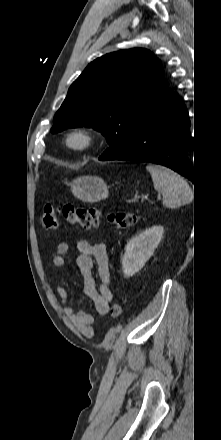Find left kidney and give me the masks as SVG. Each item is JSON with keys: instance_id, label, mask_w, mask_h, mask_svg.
<instances>
[{"instance_id": "left-kidney-1", "label": "left kidney", "mask_w": 221, "mask_h": 440, "mask_svg": "<svg viewBox=\"0 0 221 440\" xmlns=\"http://www.w3.org/2000/svg\"><path fill=\"white\" fill-rule=\"evenodd\" d=\"M163 233V226H153L128 241L122 258L125 277L133 276L143 268L160 243Z\"/></svg>"}]
</instances>
